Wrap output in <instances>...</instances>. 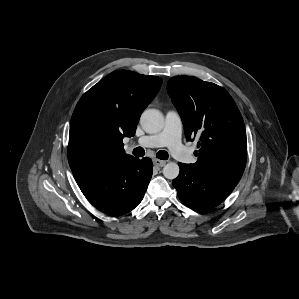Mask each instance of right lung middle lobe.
<instances>
[{"label":"right lung middle lobe","instance_id":"1","mask_svg":"<svg viewBox=\"0 0 299 299\" xmlns=\"http://www.w3.org/2000/svg\"><path fill=\"white\" fill-rule=\"evenodd\" d=\"M101 134L96 122L84 119L70 128L68 161L70 167L88 159L99 147Z\"/></svg>","mask_w":299,"mask_h":299}]
</instances>
